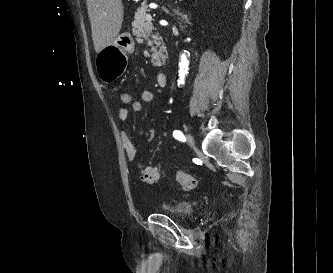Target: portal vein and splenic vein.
Returning a JSON list of instances; mask_svg holds the SVG:
<instances>
[{
    "label": "portal vein and splenic vein",
    "instance_id": "1",
    "mask_svg": "<svg viewBox=\"0 0 333 273\" xmlns=\"http://www.w3.org/2000/svg\"><path fill=\"white\" fill-rule=\"evenodd\" d=\"M145 18H146V21H147L148 23H151V21H152V16H151L150 14H147Z\"/></svg>",
    "mask_w": 333,
    "mask_h": 273
}]
</instances>
